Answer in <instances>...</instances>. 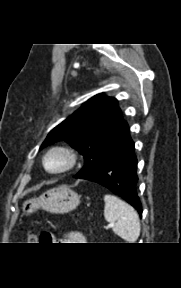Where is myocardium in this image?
Listing matches in <instances>:
<instances>
[{
  "instance_id": "f54148a6",
  "label": "myocardium",
  "mask_w": 181,
  "mask_h": 288,
  "mask_svg": "<svg viewBox=\"0 0 181 288\" xmlns=\"http://www.w3.org/2000/svg\"><path fill=\"white\" fill-rule=\"evenodd\" d=\"M54 154H59L64 158V165L58 169L51 170L47 167V160L50 156ZM78 163V154L77 152L65 145H55L50 147L42 156V167L43 169L51 175H61L70 172L73 170Z\"/></svg>"
}]
</instances>
